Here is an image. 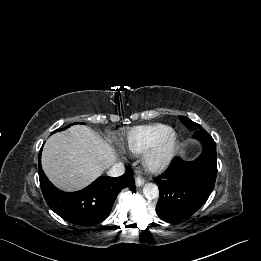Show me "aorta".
Masks as SVG:
<instances>
[{"mask_svg":"<svg viewBox=\"0 0 261 261\" xmlns=\"http://www.w3.org/2000/svg\"><path fill=\"white\" fill-rule=\"evenodd\" d=\"M143 194L147 199H155L159 196L158 186L154 183H146L143 187Z\"/></svg>","mask_w":261,"mask_h":261,"instance_id":"762f6f07","label":"aorta"}]
</instances>
